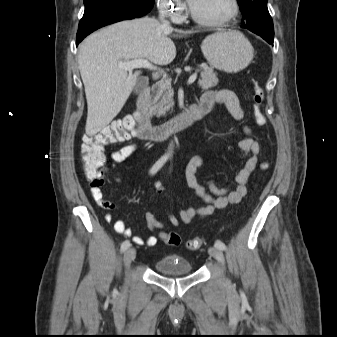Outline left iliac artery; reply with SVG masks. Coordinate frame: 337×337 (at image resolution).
<instances>
[{
	"instance_id": "1",
	"label": "left iliac artery",
	"mask_w": 337,
	"mask_h": 337,
	"mask_svg": "<svg viewBox=\"0 0 337 337\" xmlns=\"http://www.w3.org/2000/svg\"><path fill=\"white\" fill-rule=\"evenodd\" d=\"M214 246L220 250H225L226 249V245L220 241V240H217L214 244Z\"/></svg>"
}]
</instances>
